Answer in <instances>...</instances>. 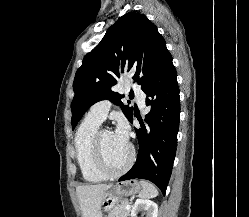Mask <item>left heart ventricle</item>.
<instances>
[{
  "label": "left heart ventricle",
  "mask_w": 249,
  "mask_h": 217,
  "mask_svg": "<svg viewBox=\"0 0 249 217\" xmlns=\"http://www.w3.org/2000/svg\"><path fill=\"white\" fill-rule=\"evenodd\" d=\"M102 146L106 161L112 169H119L126 163L129 156L128 144L122 143L114 132L103 133Z\"/></svg>",
  "instance_id": "1"
}]
</instances>
